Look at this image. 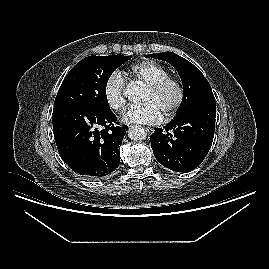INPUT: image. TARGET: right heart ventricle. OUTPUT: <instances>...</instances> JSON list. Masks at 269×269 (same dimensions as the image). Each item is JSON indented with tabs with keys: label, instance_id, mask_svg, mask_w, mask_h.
Segmentation results:
<instances>
[{
	"label": "right heart ventricle",
	"instance_id": "1",
	"mask_svg": "<svg viewBox=\"0 0 269 269\" xmlns=\"http://www.w3.org/2000/svg\"><path fill=\"white\" fill-rule=\"evenodd\" d=\"M130 75L134 80L150 86L157 81L170 76V71L159 63L146 61L132 66Z\"/></svg>",
	"mask_w": 269,
	"mask_h": 269
}]
</instances>
